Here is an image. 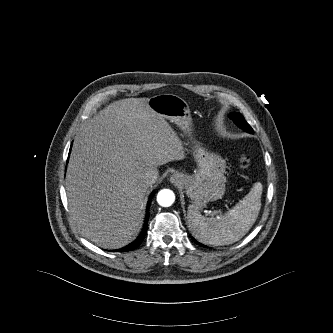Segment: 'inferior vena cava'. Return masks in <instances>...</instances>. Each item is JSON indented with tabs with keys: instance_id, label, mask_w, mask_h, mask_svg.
Returning a JSON list of instances; mask_svg holds the SVG:
<instances>
[{
	"instance_id": "obj_1",
	"label": "inferior vena cava",
	"mask_w": 333,
	"mask_h": 333,
	"mask_svg": "<svg viewBox=\"0 0 333 333\" xmlns=\"http://www.w3.org/2000/svg\"><path fill=\"white\" fill-rule=\"evenodd\" d=\"M159 178V171L158 169H151L146 173V180L145 183L148 186L153 185L157 179Z\"/></svg>"
}]
</instances>
